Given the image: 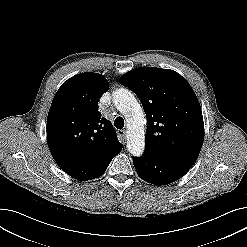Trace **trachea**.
<instances>
[{
  "mask_svg": "<svg viewBox=\"0 0 247 247\" xmlns=\"http://www.w3.org/2000/svg\"><path fill=\"white\" fill-rule=\"evenodd\" d=\"M114 126L117 128V129H123L124 127V120L122 117H117L114 121Z\"/></svg>",
  "mask_w": 247,
  "mask_h": 247,
  "instance_id": "obj_1",
  "label": "trachea"
}]
</instances>
